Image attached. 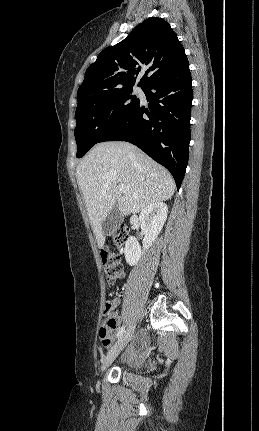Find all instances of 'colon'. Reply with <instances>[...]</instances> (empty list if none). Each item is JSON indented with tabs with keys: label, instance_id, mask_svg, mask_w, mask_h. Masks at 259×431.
<instances>
[{
	"label": "colon",
	"instance_id": "colon-1",
	"mask_svg": "<svg viewBox=\"0 0 259 431\" xmlns=\"http://www.w3.org/2000/svg\"><path fill=\"white\" fill-rule=\"evenodd\" d=\"M128 233V228L121 226L115 229L109 237L117 248H122L126 243ZM100 257L106 280L110 285L114 284L118 279L123 277L124 268L121 263V258L118 254L108 248H103L100 252ZM112 310V303L107 302L104 308V320L99 332L104 346L110 344L111 332L117 324V319L113 315Z\"/></svg>",
	"mask_w": 259,
	"mask_h": 431
}]
</instances>
